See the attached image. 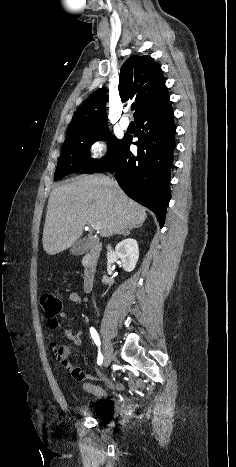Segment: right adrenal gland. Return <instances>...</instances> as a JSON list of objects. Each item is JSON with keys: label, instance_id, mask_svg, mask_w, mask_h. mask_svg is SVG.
I'll use <instances>...</instances> for the list:
<instances>
[{"label": "right adrenal gland", "instance_id": "obj_1", "mask_svg": "<svg viewBox=\"0 0 236 467\" xmlns=\"http://www.w3.org/2000/svg\"><path fill=\"white\" fill-rule=\"evenodd\" d=\"M139 226H134V227H129V228H125L123 230H121L120 232L117 233V235H124V236H127L130 234V231L133 229V228H138Z\"/></svg>", "mask_w": 236, "mask_h": 467}]
</instances>
